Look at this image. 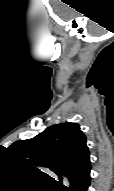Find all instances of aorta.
Listing matches in <instances>:
<instances>
[{"label": "aorta", "mask_w": 114, "mask_h": 191, "mask_svg": "<svg viewBox=\"0 0 114 191\" xmlns=\"http://www.w3.org/2000/svg\"><path fill=\"white\" fill-rule=\"evenodd\" d=\"M63 183L66 186L69 185V181H68V179L66 177L63 178Z\"/></svg>", "instance_id": "aorta-1"}]
</instances>
